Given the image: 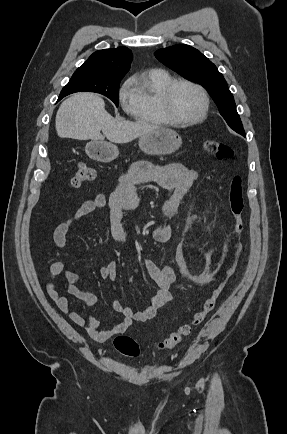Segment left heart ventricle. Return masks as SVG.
Returning a JSON list of instances; mask_svg holds the SVG:
<instances>
[{"mask_svg":"<svg viewBox=\"0 0 287 434\" xmlns=\"http://www.w3.org/2000/svg\"><path fill=\"white\" fill-rule=\"evenodd\" d=\"M200 93L193 87L185 84L177 85L171 97V107L174 115L179 119H192L202 109Z\"/></svg>","mask_w":287,"mask_h":434,"instance_id":"b2bd125f","label":"left heart ventricle"}]
</instances>
